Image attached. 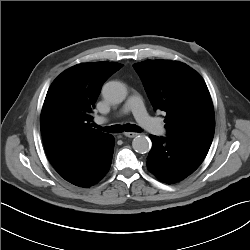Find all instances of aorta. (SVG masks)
Listing matches in <instances>:
<instances>
[{"label": "aorta", "instance_id": "762f6f07", "mask_svg": "<svg viewBox=\"0 0 250 250\" xmlns=\"http://www.w3.org/2000/svg\"><path fill=\"white\" fill-rule=\"evenodd\" d=\"M127 93L126 86L119 81H110L102 88L103 98L111 104L123 102L127 97ZM132 147L137 153L145 154L149 152L151 142L146 136L139 135L133 139Z\"/></svg>", "mask_w": 250, "mask_h": 250}]
</instances>
